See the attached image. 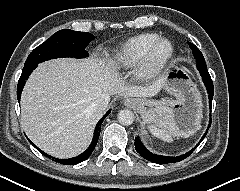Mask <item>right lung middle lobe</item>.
I'll return each mask as SVG.
<instances>
[{
    "label": "right lung middle lobe",
    "instance_id": "dd1d6c3e",
    "mask_svg": "<svg viewBox=\"0 0 240 191\" xmlns=\"http://www.w3.org/2000/svg\"><path fill=\"white\" fill-rule=\"evenodd\" d=\"M94 39L88 32L60 30L36 47L28 56L24 68L58 57H88L86 46Z\"/></svg>",
    "mask_w": 240,
    "mask_h": 191
}]
</instances>
